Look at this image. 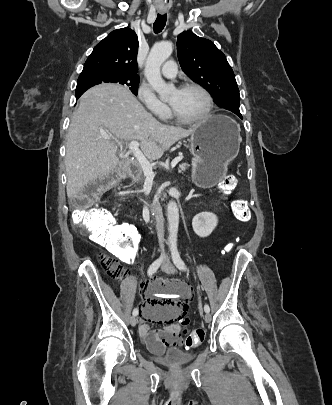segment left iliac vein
<instances>
[{
	"label": "left iliac vein",
	"instance_id": "obj_1",
	"mask_svg": "<svg viewBox=\"0 0 332 405\" xmlns=\"http://www.w3.org/2000/svg\"><path fill=\"white\" fill-rule=\"evenodd\" d=\"M162 270L168 274H173L175 273V267L171 263L170 259L168 257H165L163 260V264L161 266ZM211 315L209 313H206L204 315V320L205 322L209 323L211 321Z\"/></svg>",
	"mask_w": 332,
	"mask_h": 405
}]
</instances>
